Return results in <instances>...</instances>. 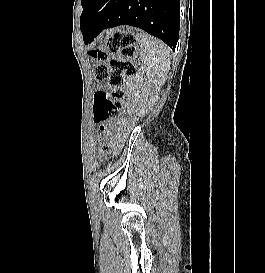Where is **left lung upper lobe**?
Here are the masks:
<instances>
[{"label":"left lung upper lobe","mask_w":265,"mask_h":273,"mask_svg":"<svg viewBox=\"0 0 265 273\" xmlns=\"http://www.w3.org/2000/svg\"><path fill=\"white\" fill-rule=\"evenodd\" d=\"M88 1H89V0H82V1H81V4H82V6H83V12H82L81 17H80V25H81L83 16L85 15V13H86L87 10H88V6H89Z\"/></svg>","instance_id":"left-lung-upper-lobe-1"}]
</instances>
